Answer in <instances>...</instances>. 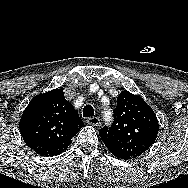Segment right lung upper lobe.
Listing matches in <instances>:
<instances>
[{
    "label": "right lung upper lobe",
    "instance_id": "cb5924a9",
    "mask_svg": "<svg viewBox=\"0 0 188 188\" xmlns=\"http://www.w3.org/2000/svg\"><path fill=\"white\" fill-rule=\"evenodd\" d=\"M83 126L78 112L65 99L62 89L35 96L19 122L26 145L43 156L61 154Z\"/></svg>",
    "mask_w": 188,
    "mask_h": 188
}]
</instances>
